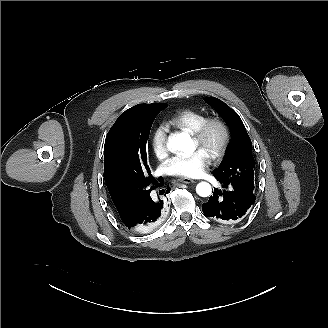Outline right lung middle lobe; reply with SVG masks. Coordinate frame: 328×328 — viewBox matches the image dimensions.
<instances>
[{
    "label": "right lung middle lobe",
    "instance_id": "1",
    "mask_svg": "<svg viewBox=\"0 0 328 328\" xmlns=\"http://www.w3.org/2000/svg\"><path fill=\"white\" fill-rule=\"evenodd\" d=\"M167 104H140L126 110L105 140L104 179L119 196L140 201L155 188L150 172L147 140L152 123Z\"/></svg>",
    "mask_w": 328,
    "mask_h": 328
}]
</instances>
